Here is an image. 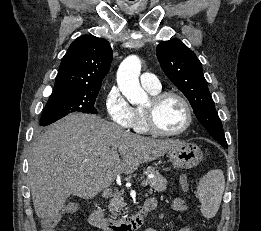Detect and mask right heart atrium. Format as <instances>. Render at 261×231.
<instances>
[{"instance_id":"1","label":"right heart atrium","mask_w":261,"mask_h":231,"mask_svg":"<svg viewBox=\"0 0 261 231\" xmlns=\"http://www.w3.org/2000/svg\"><path fill=\"white\" fill-rule=\"evenodd\" d=\"M105 108L111 121L124 129H130L134 122V108L117 86H113L105 98Z\"/></svg>"}]
</instances>
